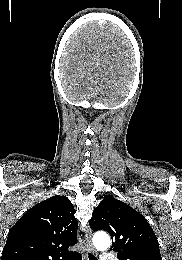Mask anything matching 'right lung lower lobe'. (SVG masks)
Here are the masks:
<instances>
[{"instance_id":"1","label":"right lung lower lobe","mask_w":182,"mask_h":260,"mask_svg":"<svg viewBox=\"0 0 182 260\" xmlns=\"http://www.w3.org/2000/svg\"><path fill=\"white\" fill-rule=\"evenodd\" d=\"M81 259H82V257L79 253H77L69 258V260H81Z\"/></svg>"}]
</instances>
